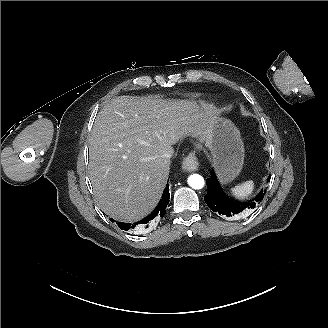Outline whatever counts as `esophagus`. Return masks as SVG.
I'll list each match as a JSON object with an SVG mask.
<instances>
[{"instance_id":"1","label":"esophagus","mask_w":328,"mask_h":328,"mask_svg":"<svg viewBox=\"0 0 328 328\" xmlns=\"http://www.w3.org/2000/svg\"><path fill=\"white\" fill-rule=\"evenodd\" d=\"M198 159L195 155L194 152H190L184 159L182 162V168L183 170L187 171V172H193L198 170Z\"/></svg>"}]
</instances>
